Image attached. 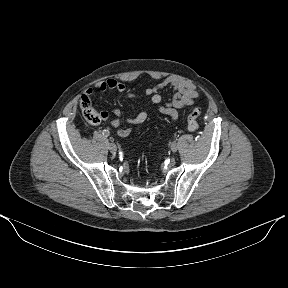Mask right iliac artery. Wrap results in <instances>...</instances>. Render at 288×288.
Here are the masks:
<instances>
[{"instance_id": "1", "label": "right iliac artery", "mask_w": 288, "mask_h": 288, "mask_svg": "<svg viewBox=\"0 0 288 288\" xmlns=\"http://www.w3.org/2000/svg\"><path fill=\"white\" fill-rule=\"evenodd\" d=\"M109 134H110V132H109L108 130H103V135H104V136L108 137Z\"/></svg>"}]
</instances>
